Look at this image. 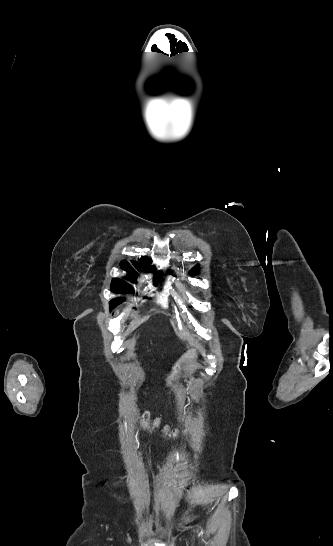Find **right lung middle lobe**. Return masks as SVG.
<instances>
[{
  "label": "right lung middle lobe",
  "instance_id": "obj_1",
  "mask_svg": "<svg viewBox=\"0 0 333 546\" xmlns=\"http://www.w3.org/2000/svg\"><path fill=\"white\" fill-rule=\"evenodd\" d=\"M134 278H136V276L130 274L128 280H130L131 282H135ZM111 290L114 292H128L132 290V287L127 282L118 278H114L111 283ZM122 302L123 301L120 299H113L110 302L111 310Z\"/></svg>",
  "mask_w": 333,
  "mask_h": 546
}]
</instances>
